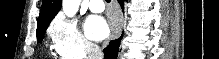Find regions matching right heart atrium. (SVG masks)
I'll return each mask as SVG.
<instances>
[{"mask_svg": "<svg viewBox=\"0 0 219 59\" xmlns=\"http://www.w3.org/2000/svg\"><path fill=\"white\" fill-rule=\"evenodd\" d=\"M49 36L62 59H87L95 54L96 45L82 33L74 20L57 17L50 26Z\"/></svg>", "mask_w": 219, "mask_h": 59, "instance_id": "d8ad5b80", "label": "right heart atrium"}]
</instances>
